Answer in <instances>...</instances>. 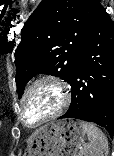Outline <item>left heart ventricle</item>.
Masks as SVG:
<instances>
[{"instance_id":"obj_1","label":"left heart ventricle","mask_w":114,"mask_h":156,"mask_svg":"<svg viewBox=\"0 0 114 156\" xmlns=\"http://www.w3.org/2000/svg\"><path fill=\"white\" fill-rule=\"evenodd\" d=\"M59 104L56 88L48 83L35 87L25 101L27 122L32 124L52 113Z\"/></svg>"}]
</instances>
